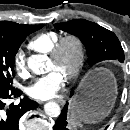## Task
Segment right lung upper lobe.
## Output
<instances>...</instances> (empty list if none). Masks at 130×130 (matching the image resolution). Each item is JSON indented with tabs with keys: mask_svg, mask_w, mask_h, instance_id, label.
I'll use <instances>...</instances> for the list:
<instances>
[{
	"mask_svg": "<svg viewBox=\"0 0 130 130\" xmlns=\"http://www.w3.org/2000/svg\"><path fill=\"white\" fill-rule=\"evenodd\" d=\"M27 25L17 24L10 21H0V33L17 34L21 32Z\"/></svg>",
	"mask_w": 130,
	"mask_h": 130,
	"instance_id": "right-lung-upper-lobe-1",
	"label": "right lung upper lobe"
}]
</instances>
